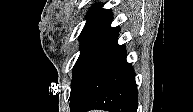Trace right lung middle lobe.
I'll use <instances>...</instances> for the list:
<instances>
[{
	"label": "right lung middle lobe",
	"instance_id": "right-lung-middle-lobe-1",
	"mask_svg": "<svg viewBox=\"0 0 193 112\" xmlns=\"http://www.w3.org/2000/svg\"><path fill=\"white\" fill-rule=\"evenodd\" d=\"M117 35L95 29H83L80 35L81 54L73 68L71 90L89 62Z\"/></svg>",
	"mask_w": 193,
	"mask_h": 112
}]
</instances>
